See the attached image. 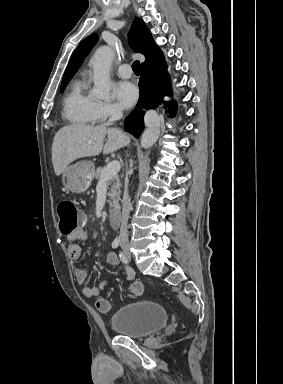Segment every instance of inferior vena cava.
<instances>
[{"mask_svg":"<svg viewBox=\"0 0 283 384\" xmlns=\"http://www.w3.org/2000/svg\"><path fill=\"white\" fill-rule=\"evenodd\" d=\"M109 114H110V118H109L107 124H104V126H110V124H113V122H115V120H119V118H122L123 108H121V106H118V104H112ZM128 186H129V180H128V178H126V180H125V192H124V196H123V200H122L123 208H122V218H121V228H120V246H121V248H129L127 224H128V218H129V214L131 212L132 204H131V200L129 198Z\"/></svg>","mask_w":283,"mask_h":384,"instance_id":"602c4592","label":"inferior vena cava"}]
</instances>
